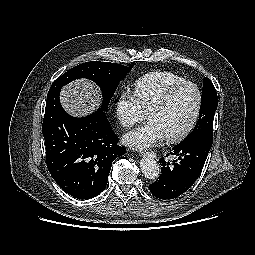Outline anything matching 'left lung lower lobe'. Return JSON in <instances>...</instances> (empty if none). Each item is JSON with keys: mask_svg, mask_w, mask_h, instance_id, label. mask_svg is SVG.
Here are the masks:
<instances>
[{"mask_svg": "<svg viewBox=\"0 0 255 255\" xmlns=\"http://www.w3.org/2000/svg\"><path fill=\"white\" fill-rule=\"evenodd\" d=\"M213 137L199 136L174 146L169 155H176L173 164L160 159L161 175L149 186L151 193L160 199H173L187 191L199 177L212 146Z\"/></svg>", "mask_w": 255, "mask_h": 255, "instance_id": "0a47b994", "label": "left lung lower lobe"}]
</instances>
